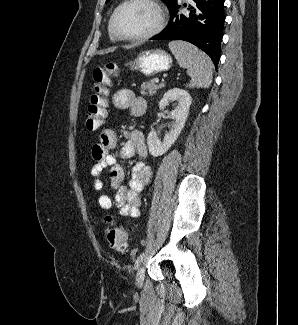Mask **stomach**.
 <instances>
[{
    "label": "stomach",
    "mask_w": 298,
    "mask_h": 325,
    "mask_svg": "<svg viewBox=\"0 0 298 325\" xmlns=\"http://www.w3.org/2000/svg\"><path fill=\"white\" fill-rule=\"evenodd\" d=\"M125 66L145 76H154L158 72L169 70L173 66V58L162 48H143L133 60H128Z\"/></svg>",
    "instance_id": "obj_1"
}]
</instances>
